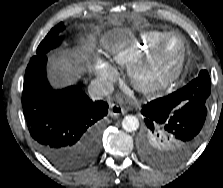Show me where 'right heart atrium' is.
<instances>
[{"instance_id":"1","label":"right heart atrium","mask_w":223,"mask_h":188,"mask_svg":"<svg viewBox=\"0 0 223 188\" xmlns=\"http://www.w3.org/2000/svg\"><path fill=\"white\" fill-rule=\"evenodd\" d=\"M97 75L100 79L110 82L116 77V71L107 63L98 61Z\"/></svg>"}]
</instances>
